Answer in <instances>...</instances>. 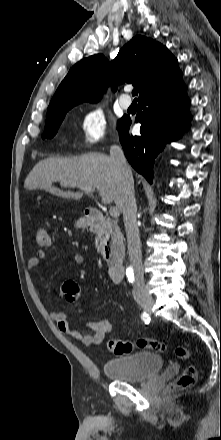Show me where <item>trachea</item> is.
Masks as SVG:
<instances>
[{
	"mask_svg": "<svg viewBox=\"0 0 221 440\" xmlns=\"http://www.w3.org/2000/svg\"><path fill=\"white\" fill-rule=\"evenodd\" d=\"M132 95L133 96H137L138 95V89L137 88L133 89Z\"/></svg>",
	"mask_w": 221,
	"mask_h": 440,
	"instance_id": "1",
	"label": "trachea"
}]
</instances>
